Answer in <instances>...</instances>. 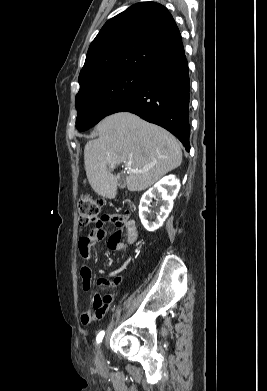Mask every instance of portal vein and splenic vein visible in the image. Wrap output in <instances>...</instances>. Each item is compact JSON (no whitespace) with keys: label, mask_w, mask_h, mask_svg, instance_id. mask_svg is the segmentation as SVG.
<instances>
[{"label":"portal vein and splenic vein","mask_w":267,"mask_h":391,"mask_svg":"<svg viewBox=\"0 0 267 391\" xmlns=\"http://www.w3.org/2000/svg\"><path fill=\"white\" fill-rule=\"evenodd\" d=\"M130 163L129 162H126L125 163V166L129 169V171H131V172H142L141 170H138V169H132V168H130Z\"/></svg>","instance_id":"obj_1"}]
</instances>
